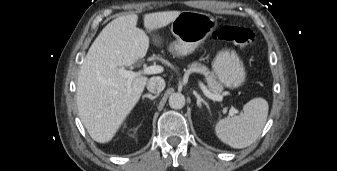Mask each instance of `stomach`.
Masks as SVG:
<instances>
[{
  "instance_id": "obj_1",
  "label": "stomach",
  "mask_w": 337,
  "mask_h": 171,
  "mask_svg": "<svg viewBox=\"0 0 337 171\" xmlns=\"http://www.w3.org/2000/svg\"><path fill=\"white\" fill-rule=\"evenodd\" d=\"M217 22L209 14L182 11L172 21L171 32L176 40L169 50L177 56L192 53L216 28ZM216 78L228 88H237L245 82L246 72L243 62L234 50L220 51L212 64Z\"/></svg>"
}]
</instances>
